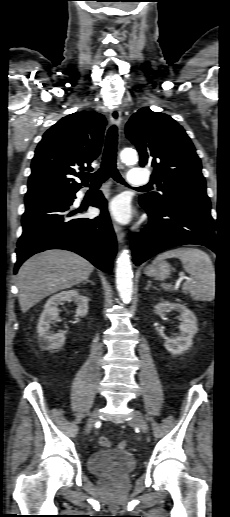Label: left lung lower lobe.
Returning <instances> with one entry per match:
<instances>
[{
    "label": "left lung lower lobe",
    "mask_w": 230,
    "mask_h": 517,
    "mask_svg": "<svg viewBox=\"0 0 230 517\" xmlns=\"http://www.w3.org/2000/svg\"><path fill=\"white\" fill-rule=\"evenodd\" d=\"M149 224L132 238V255L140 265L157 253L179 245H203L218 253L209 200H184L161 209L144 203Z\"/></svg>",
    "instance_id": "1"
}]
</instances>
